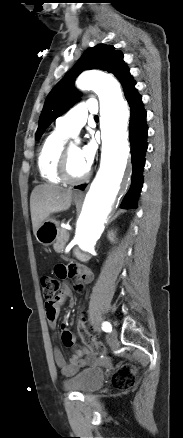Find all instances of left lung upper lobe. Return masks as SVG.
<instances>
[{
	"label": "left lung upper lobe",
	"mask_w": 183,
	"mask_h": 438,
	"mask_svg": "<svg viewBox=\"0 0 183 438\" xmlns=\"http://www.w3.org/2000/svg\"><path fill=\"white\" fill-rule=\"evenodd\" d=\"M87 69H101L113 73L121 82L123 88L133 79L129 73L123 54L112 45L99 44L88 48L68 74L60 80L49 93L36 132L39 140L44 130L59 116L65 113L77 100L78 92L73 84L75 78Z\"/></svg>",
	"instance_id": "1"
}]
</instances>
